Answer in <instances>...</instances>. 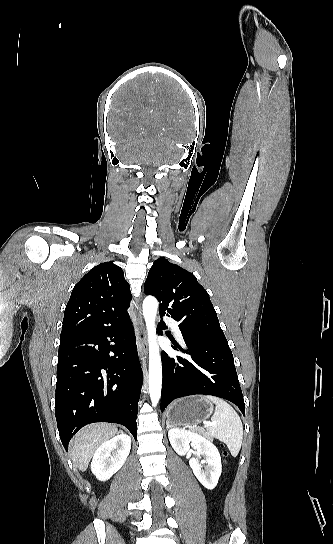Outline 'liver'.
Masks as SVG:
<instances>
[{
	"mask_svg": "<svg viewBox=\"0 0 333 544\" xmlns=\"http://www.w3.org/2000/svg\"><path fill=\"white\" fill-rule=\"evenodd\" d=\"M116 426L110 424H92L79 431L71 441V459L75 467L86 471L96 450L117 434Z\"/></svg>",
	"mask_w": 333,
	"mask_h": 544,
	"instance_id": "6515ba94",
	"label": "liver"
}]
</instances>
